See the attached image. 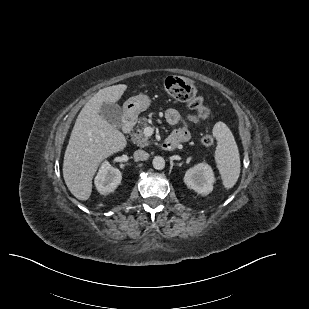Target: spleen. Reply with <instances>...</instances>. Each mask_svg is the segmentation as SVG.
<instances>
[{
  "label": "spleen",
  "mask_w": 309,
  "mask_h": 309,
  "mask_svg": "<svg viewBox=\"0 0 309 309\" xmlns=\"http://www.w3.org/2000/svg\"><path fill=\"white\" fill-rule=\"evenodd\" d=\"M213 136L218 145L215 151V161L221 175L223 185L231 189L240 175V157L234 136L228 126L217 122L213 128Z\"/></svg>",
  "instance_id": "spleen-1"
}]
</instances>
